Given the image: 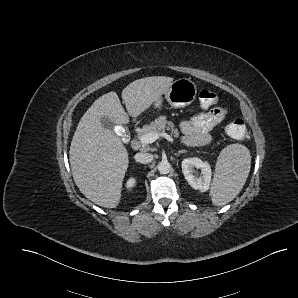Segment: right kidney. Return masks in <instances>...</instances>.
I'll return each mask as SVG.
<instances>
[{"label":"right kidney","mask_w":298,"mask_h":298,"mask_svg":"<svg viewBox=\"0 0 298 298\" xmlns=\"http://www.w3.org/2000/svg\"><path fill=\"white\" fill-rule=\"evenodd\" d=\"M137 185V179L136 177H134L133 175H130L128 177V179L125 181L124 183V187L127 189V190H132L136 187Z\"/></svg>","instance_id":"right-kidney-1"}]
</instances>
